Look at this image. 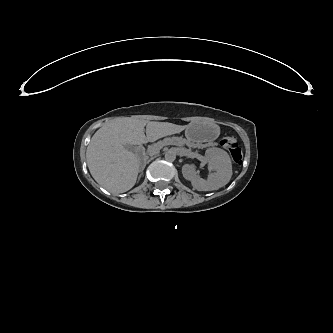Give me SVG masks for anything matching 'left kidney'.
Wrapping results in <instances>:
<instances>
[{"mask_svg":"<svg viewBox=\"0 0 333 333\" xmlns=\"http://www.w3.org/2000/svg\"><path fill=\"white\" fill-rule=\"evenodd\" d=\"M210 171L207 179L196 172L194 164H186L182 168L183 176L198 191H213L225 186L232 176V164L229 156L222 149H208L205 152Z\"/></svg>","mask_w":333,"mask_h":333,"instance_id":"5707ae66","label":"left kidney"}]
</instances>
